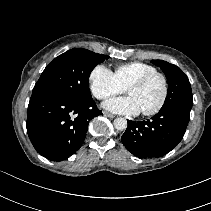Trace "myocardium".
Masks as SVG:
<instances>
[{"label":"myocardium","mask_w":211,"mask_h":211,"mask_svg":"<svg viewBox=\"0 0 211 211\" xmlns=\"http://www.w3.org/2000/svg\"><path fill=\"white\" fill-rule=\"evenodd\" d=\"M155 77H159L161 78L162 82H163V95L162 98L160 100V102L158 103V105L148 111H142V114L144 116H153L158 114L164 107L167 98H168V94H169V82H168V78L164 73L155 71L149 74H146L144 76H142L141 78L135 80L134 82H132L128 87H127V91H129L131 88H138V87H142L144 86L146 83H148L151 79L155 78Z\"/></svg>","instance_id":"1"}]
</instances>
